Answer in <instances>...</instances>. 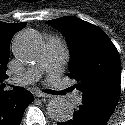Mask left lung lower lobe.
<instances>
[{
    "mask_svg": "<svg viewBox=\"0 0 125 125\" xmlns=\"http://www.w3.org/2000/svg\"><path fill=\"white\" fill-rule=\"evenodd\" d=\"M113 111L106 108H97L81 104L74 109L73 116L67 122L58 125H105Z\"/></svg>",
    "mask_w": 125,
    "mask_h": 125,
    "instance_id": "left-lung-lower-lobe-1",
    "label": "left lung lower lobe"
}]
</instances>
